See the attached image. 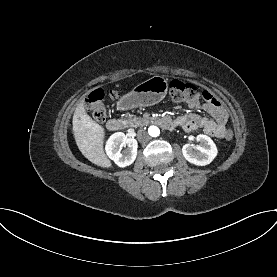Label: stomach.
<instances>
[{
	"label": "stomach",
	"mask_w": 277,
	"mask_h": 277,
	"mask_svg": "<svg viewBox=\"0 0 277 277\" xmlns=\"http://www.w3.org/2000/svg\"><path fill=\"white\" fill-rule=\"evenodd\" d=\"M168 91V81L163 76H153L136 85L118 102L121 110L151 106L164 99Z\"/></svg>",
	"instance_id": "obj_1"
}]
</instances>
